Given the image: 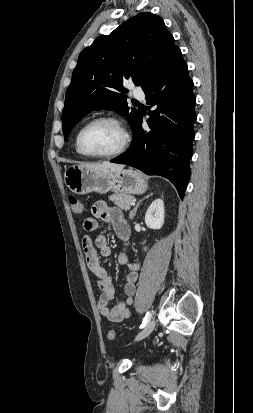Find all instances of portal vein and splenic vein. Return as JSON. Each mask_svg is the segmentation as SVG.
<instances>
[{"mask_svg":"<svg viewBox=\"0 0 253 413\" xmlns=\"http://www.w3.org/2000/svg\"><path fill=\"white\" fill-rule=\"evenodd\" d=\"M134 204H135V201H132V202H131V205H134Z\"/></svg>","mask_w":253,"mask_h":413,"instance_id":"18ae733b","label":"portal vein and splenic vein"}]
</instances>
